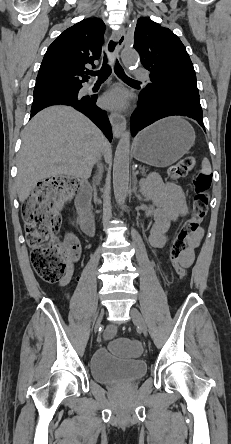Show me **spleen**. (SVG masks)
Returning <instances> with one entry per match:
<instances>
[{
  "instance_id": "spleen-1",
  "label": "spleen",
  "mask_w": 231,
  "mask_h": 444,
  "mask_svg": "<svg viewBox=\"0 0 231 444\" xmlns=\"http://www.w3.org/2000/svg\"><path fill=\"white\" fill-rule=\"evenodd\" d=\"M202 173L206 175L211 173V166L207 158L202 161Z\"/></svg>"
}]
</instances>
